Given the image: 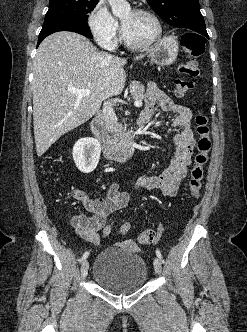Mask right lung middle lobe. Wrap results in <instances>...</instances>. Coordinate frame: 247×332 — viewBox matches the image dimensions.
Here are the masks:
<instances>
[{
  "mask_svg": "<svg viewBox=\"0 0 247 332\" xmlns=\"http://www.w3.org/2000/svg\"><path fill=\"white\" fill-rule=\"evenodd\" d=\"M99 0H50L46 19L69 18L87 23L90 13Z\"/></svg>",
  "mask_w": 247,
  "mask_h": 332,
  "instance_id": "right-lung-middle-lobe-1",
  "label": "right lung middle lobe"
}]
</instances>
